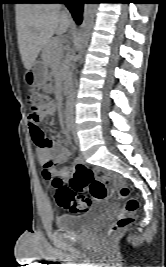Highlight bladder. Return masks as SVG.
Listing matches in <instances>:
<instances>
[{
  "mask_svg": "<svg viewBox=\"0 0 166 267\" xmlns=\"http://www.w3.org/2000/svg\"><path fill=\"white\" fill-rule=\"evenodd\" d=\"M100 212V211H99ZM95 212L83 214H63L56 218V226L61 231L80 232L88 229L97 221Z\"/></svg>",
  "mask_w": 166,
  "mask_h": 267,
  "instance_id": "obj_1",
  "label": "bladder"
}]
</instances>
